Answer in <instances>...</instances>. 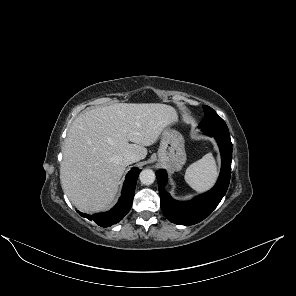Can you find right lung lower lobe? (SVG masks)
I'll return each mask as SVG.
<instances>
[{"mask_svg":"<svg viewBox=\"0 0 296 296\" xmlns=\"http://www.w3.org/2000/svg\"><path fill=\"white\" fill-rule=\"evenodd\" d=\"M140 171L141 170L138 168H133L128 172L122 189V196L120 197L119 202L110 211L92 216L80 211L77 212L81 216L93 220L101 227H109L118 223L131 209L136 182Z\"/></svg>","mask_w":296,"mask_h":296,"instance_id":"obj_1","label":"right lung lower lobe"}]
</instances>
